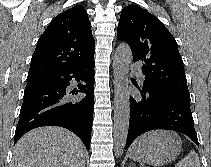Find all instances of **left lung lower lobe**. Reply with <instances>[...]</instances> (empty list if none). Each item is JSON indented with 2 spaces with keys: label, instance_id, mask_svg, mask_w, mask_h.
Here are the masks:
<instances>
[{
  "label": "left lung lower lobe",
  "instance_id": "obj_1",
  "mask_svg": "<svg viewBox=\"0 0 211 167\" xmlns=\"http://www.w3.org/2000/svg\"><path fill=\"white\" fill-rule=\"evenodd\" d=\"M130 102L127 148L139 135L155 129L183 133L198 145L190 103L159 91L144 88L140 90V95L137 98L130 96Z\"/></svg>",
  "mask_w": 211,
  "mask_h": 167
}]
</instances>
